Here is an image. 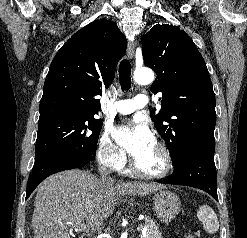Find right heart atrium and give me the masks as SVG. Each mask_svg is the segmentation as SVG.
Returning <instances> with one entry per match:
<instances>
[{"mask_svg": "<svg viewBox=\"0 0 247 238\" xmlns=\"http://www.w3.org/2000/svg\"><path fill=\"white\" fill-rule=\"evenodd\" d=\"M96 157L105 167L119 170L126 164L125 153L112 141L108 130H104L98 139Z\"/></svg>", "mask_w": 247, "mask_h": 238, "instance_id": "obj_1", "label": "right heart atrium"}]
</instances>
